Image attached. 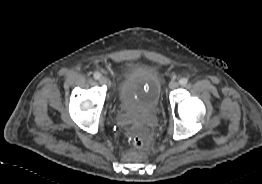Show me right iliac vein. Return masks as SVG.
<instances>
[{"mask_svg": "<svg viewBox=\"0 0 262 184\" xmlns=\"http://www.w3.org/2000/svg\"><path fill=\"white\" fill-rule=\"evenodd\" d=\"M99 82L103 85H106L108 87L111 86V81L107 77H101Z\"/></svg>", "mask_w": 262, "mask_h": 184, "instance_id": "obj_1", "label": "right iliac vein"}]
</instances>
